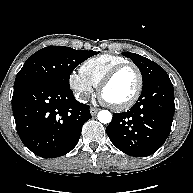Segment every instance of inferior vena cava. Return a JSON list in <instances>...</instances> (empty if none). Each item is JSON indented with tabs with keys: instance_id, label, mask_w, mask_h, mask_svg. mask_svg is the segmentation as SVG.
<instances>
[{
	"instance_id": "inferior-vena-cava-1",
	"label": "inferior vena cava",
	"mask_w": 193,
	"mask_h": 193,
	"mask_svg": "<svg viewBox=\"0 0 193 193\" xmlns=\"http://www.w3.org/2000/svg\"><path fill=\"white\" fill-rule=\"evenodd\" d=\"M76 98H77L78 101H80L82 103H87L89 98H90V95L85 93V92L84 93L82 92V93H78L76 95Z\"/></svg>"
}]
</instances>
